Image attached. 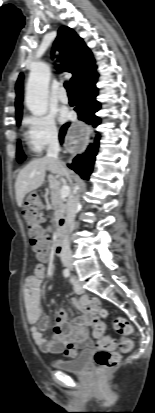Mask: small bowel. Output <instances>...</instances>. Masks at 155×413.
<instances>
[{"label":"small bowel","instance_id":"small-bowel-1","mask_svg":"<svg viewBox=\"0 0 155 413\" xmlns=\"http://www.w3.org/2000/svg\"><path fill=\"white\" fill-rule=\"evenodd\" d=\"M50 259V252L44 259H39L41 263L33 269V274L26 277V295L24 299L25 312L28 323L31 325V335L38 348L50 354H65L67 357H74L80 349L92 346V340L88 334V327L93 329V336L98 338L97 329L104 333L105 324L101 320L92 317L86 310L89 298L82 296L71 299V303L80 316L73 320H68L69 311L62 309L58 312L54 334L46 337L50 319L43 316L41 300L43 293V279L46 275L44 263ZM111 340V347L114 341Z\"/></svg>","mask_w":155,"mask_h":413}]
</instances>
